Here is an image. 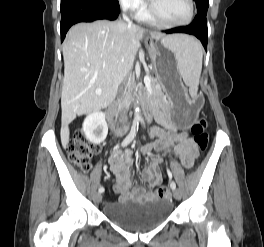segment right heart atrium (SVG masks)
I'll return each mask as SVG.
<instances>
[{
    "label": "right heart atrium",
    "instance_id": "obj_1",
    "mask_svg": "<svg viewBox=\"0 0 264 247\" xmlns=\"http://www.w3.org/2000/svg\"><path fill=\"white\" fill-rule=\"evenodd\" d=\"M120 6L129 12H138L145 7L144 0H118Z\"/></svg>",
    "mask_w": 264,
    "mask_h": 247
}]
</instances>
